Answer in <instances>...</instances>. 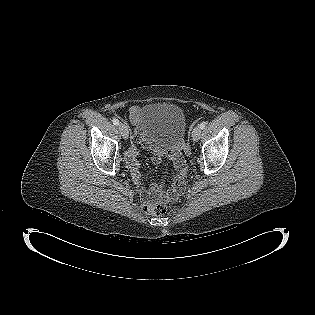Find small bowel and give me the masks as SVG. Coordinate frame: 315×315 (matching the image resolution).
Returning a JSON list of instances; mask_svg holds the SVG:
<instances>
[{"instance_id":"small-bowel-1","label":"small bowel","mask_w":315,"mask_h":315,"mask_svg":"<svg viewBox=\"0 0 315 315\" xmlns=\"http://www.w3.org/2000/svg\"><path fill=\"white\" fill-rule=\"evenodd\" d=\"M129 116L130 120L133 123H137L139 118V108L137 106H133L130 109ZM135 138L138 142H143L139 134H137ZM137 154V150L135 148H131L127 152L126 160L139 194L144 199H150L160 192L163 187V181L161 183H154L150 187L146 185L145 179L141 174L140 163L137 160ZM168 156L172 158V160L174 161V165L178 171H183L185 169V160L181 157V154L179 152L169 151ZM163 158V152L154 151L152 160L155 164H160L163 161ZM166 176L168 179L173 180L176 178L177 173L175 170L170 169L167 171Z\"/></svg>"}]
</instances>
